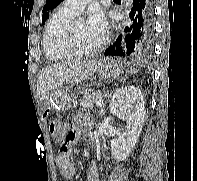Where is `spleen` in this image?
Here are the masks:
<instances>
[{"instance_id":"3e777b00","label":"spleen","mask_w":197,"mask_h":181,"mask_svg":"<svg viewBox=\"0 0 197 181\" xmlns=\"http://www.w3.org/2000/svg\"><path fill=\"white\" fill-rule=\"evenodd\" d=\"M130 64H128V66H129ZM128 72L130 73V74H135L136 72H137V70L135 69V68H132V67H130V69H128Z\"/></svg>"}]
</instances>
